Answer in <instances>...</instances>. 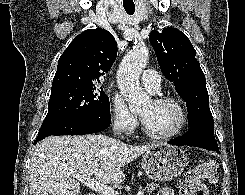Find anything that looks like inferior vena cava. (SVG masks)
Masks as SVG:
<instances>
[{
	"label": "inferior vena cava",
	"instance_id": "1",
	"mask_svg": "<svg viewBox=\"0 0 245 195\" xmlns=\"http://www.w3.org/2000/svg\"><path fill=\"white\" fill-rule=\"evenodd\" d=\"M123 128V121L121 119H116L114 122V133L117 135L121 134V129Z\"/></svg>",
	"mask_w": 245,
	"mask_h": 195
}]
</instances>
